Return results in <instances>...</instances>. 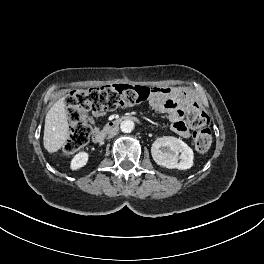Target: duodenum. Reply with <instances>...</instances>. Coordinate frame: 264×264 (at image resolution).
I'll use <instances>...</instances> for the list:
<instances>
[{
  "instance_id": "410a0bca",
  "label": "duodenum",
  "mask_w": 264,
  "mask_h": 264,
  "mask_svg": "<svg viewBox=\"0 0 264 264\" xmlns=\"http://www.w3.org/2000/svg\"><path fill=\"white\" fill-rule=\"evenodd\" d=\"M134 118L131 116H123L121 118H116L109 121L102 130L95 132L94 141L96 143H101L104 141L107 135L113 132L119 125L126 120H133Z\"/></svg>"
}]
</instances>
